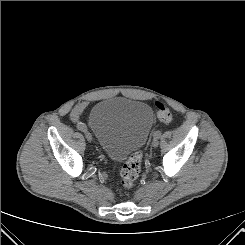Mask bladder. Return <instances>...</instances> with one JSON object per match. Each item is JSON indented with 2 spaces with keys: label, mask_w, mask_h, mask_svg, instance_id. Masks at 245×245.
I'll return each mask as SVG.
<instances>
[{
  "label": "bladder",
  "mask_w": 245,
  "mask_h": 245,
  "mask_svg": "<svg viewBox=\"0 0 245 245\" xmlns=\"http://www.w3.org/2000/svg\"><path fill=\"white\" fill-rule=\"evenodd\" d=\"M153 118L146 103L115 97L94 105L87 120L102 151L113 160H122L145 144Z\"/></svg>",
  "instance_id": "1"
}]
</instances>
